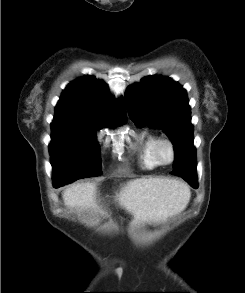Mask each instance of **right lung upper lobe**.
I'll return each mask as SVG.
<instances>
[{
    "label": "right lung upper lobe",
    "instance_id": "obj_1",
    "mask_svg": "<svg viewBox=\"0 0 245 293\" xmlns=\"http://www.w3.org/2000/svg\"><path fill=\"white\" fill-rule=\"evenodd\" d=\"M127 121L124 99L115 100L107 84L93 76L71 82L55 107L53 123L77 124L99 129Z\"/></svg>",
    "mask_w": 245,
    "mask_h": 293
}]
</instances>
